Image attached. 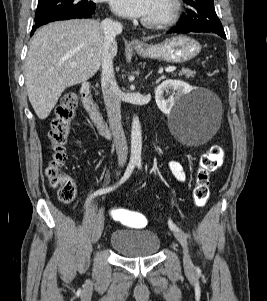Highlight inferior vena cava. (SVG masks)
<instances>
[{
    "label": "inferior vena cava",
    "instance_id": "1",
    "mask_svg": "<svg viewBox=\"0 0 267 301\" xmlns=\"http://www.w3.org/2000/svg\"><path fill=\"white\" fill-rule=\"evenodd\" d=\"M104 33V45L102 52L101 87L104 103L107 110L109 125L112 131L116 153L119 163H125L128 156V146L121 123V96L120 89L115 80L113 60L109 52L111 44L117 34L122 31V24L111 19H105L101 23Z\"/></svg>",
    "mask_w": 267,
    "mask_h": 301
}]
</instances>
